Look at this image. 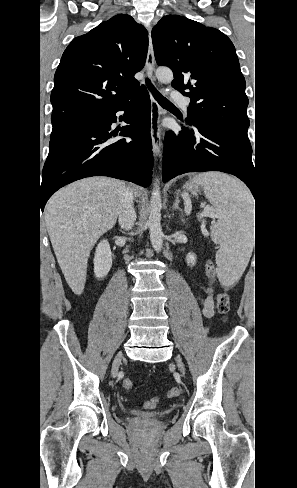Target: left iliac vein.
<instances>
[{
    "mask_svg": "<svg viewBox=\"0 0 297 488\" xmlns=\"http://www.w3.org/2000/svg\"><path fill=\"white\" fill-rule=\"evenodd\" d=\"M176 361H177V365H178L180 371L182 373H184V371H185L184 364L182 363V361L179 358H177Z\"/></svg>",
    "mask_w": 297,
    "mask_h": 488,
    "instance_id": "4c4485c4",
    "label": "left iliac vein"
}]
</instances>
